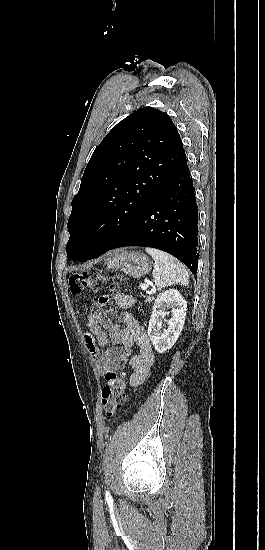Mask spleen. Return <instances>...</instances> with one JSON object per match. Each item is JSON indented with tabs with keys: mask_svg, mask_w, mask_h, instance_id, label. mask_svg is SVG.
I'll use <instances>...</instances> for the list:
<instances>
[{
	"mask_svg": "<svg viewBox=\"0 0 265 550\" xmlns=\"http://www.w3.org/2000/svg\"><path fill=\"white\" fill-rule=\"evenodd\" d=\"M145 250L155 261L153 277L158 288L177 283L183 286L189 284V276L184 265L175 257L154 248L147 247Z\"/></svg>",
	"mask_w": 265,
	"mask_h": 550,
	"instance_id": "obj_1",
	"label": "spleen"
}]
</instances>
